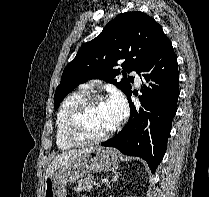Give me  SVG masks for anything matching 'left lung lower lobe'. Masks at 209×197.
<instances>
[{
    "label": "left lung lower lobe",
    "mask_w": 209,
    "mask_h": 197,
    "mask_svg": "<svg viewBox=\"0 0 209 197\" xmlns=\"http://www.w3.org/2000/svg\"><path fill=\"white\" fill-rule=\"evenodd\" d=\"M140 72L144 73L146 82L151 81L149 88L143 85L142 107L136 110L130 100L131 91L127 96L131 113L128 123L119 134L101 145L143 158L154 173L166 152L179 97L177 59L169 39Z\"/></svg>",
    "instance_id": "1"
}]
</instances>
